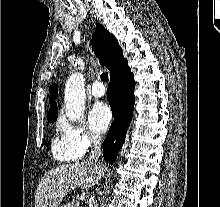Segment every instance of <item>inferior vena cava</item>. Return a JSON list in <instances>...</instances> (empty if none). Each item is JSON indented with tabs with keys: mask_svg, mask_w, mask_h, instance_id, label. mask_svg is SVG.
Instances as JSON below:
<instances>
[{
	"mask_svg": "<svg viewBox=\"0 0 220 207\" xmlns=\"http://www.w3.org/2000/svg\"><path fill=\"white\" fill-rule=\"evenodd\" d=\"M101 138L99 136H92L91 138V142H92V148H91V152L89 155V159L88 161L90 163H94L95 165H97L100 155H101Z\"/></svg>",
	"mask_w": 220,
	"mask_h": 207,
	"instance_id": "obj_1",
	"label": "inferior vena cava"
}]
</instances>
